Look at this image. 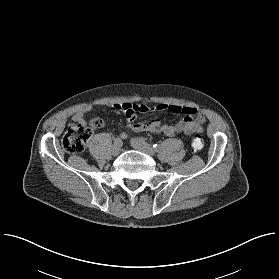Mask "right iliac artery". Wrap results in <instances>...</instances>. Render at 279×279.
Returning <instances> with one entry per match:
<instances>
[{
  "mask_svg": "<svg viewBox=\"0 0 279 279\" xmlns=\"http://www.w3.org/2000/svg\"><path fill=\"white\" fill-rule=\"evenodd\" d=\"M121 144H122V141L119 137L114 138V145H120L121 146Z\"/></svg>",
  "mask_w": 279,
  "mask_h": 279,
  "instance_id": "obj_1",
  "label": "right iliac artery"
}]
</instances>
